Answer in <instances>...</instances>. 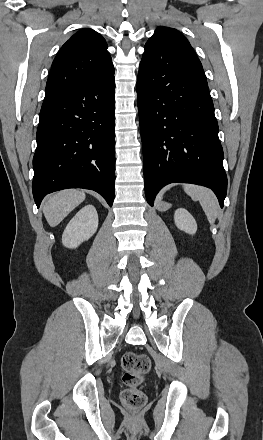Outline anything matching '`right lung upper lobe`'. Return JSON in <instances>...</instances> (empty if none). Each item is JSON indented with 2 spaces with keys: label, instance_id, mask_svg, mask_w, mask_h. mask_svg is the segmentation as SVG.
I'll return each mask as SVG.
<instances>
[{
  "label": "right lung upper lobe",
  "instance_id": "1",
  "mask_svg": "<svg viewBox=\"0 0 263 440\" xmlns=\"http://www.w3.org/2000/svg\"><path fill=\"white\" fill-rule=\"evenodd\" d=\"M107 48L105 39L92 29L74 34L52 63L44 100L113 75Z\"/></svg>",
  "mask_w": 263,
  "mask_h": 440
}]
</instances>
